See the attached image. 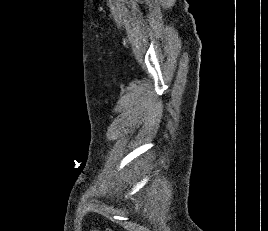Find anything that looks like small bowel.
I'll return each mask as SVG.
<instances>
[{
    "instance_id": "c3829d8e",
    "label": "small bowel",
    "mask_w": 268,
    "mask_h": 231,
    "mask_svg": "<svg viewBox=\"0 0 268 231\" xmlns=\"http://www.w3.org/2000/svg\"><path fill=\"white\" fill-rule=\"evenodd\" d=\"M91 231H96V229L95 228H92Z\"/></svg>"
}]
</instances>
